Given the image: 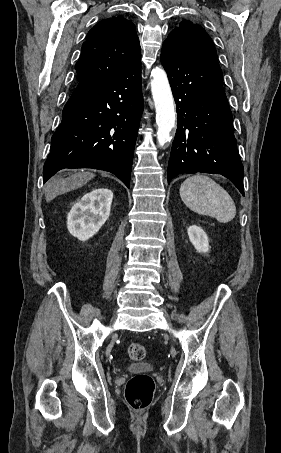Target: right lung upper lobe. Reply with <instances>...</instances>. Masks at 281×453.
Instances as JSON below:
<instances>
[{"instance_id": "cb5924a9", "label": "right lung upper lobe", "mask_w": 281, "mask_h": 453, "mask_svg": "<svg viewBox=\"0 0 281 453\" xmlns=\"http://www.w3.org/2000/svg\"><path fill=\"white\" fill-rule=\"evenodd\" d=\"M141 57L135 25L123 16L98 22L87 34L75 65L78 83L113 79Z\"/></svg>"}]
</instances>
